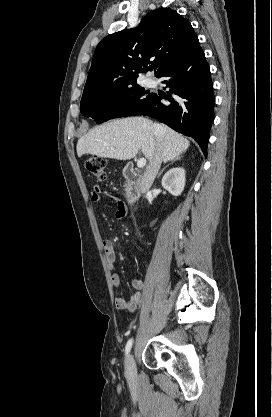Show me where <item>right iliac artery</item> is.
Here are the masks:
<instances>
[{
    "label": "right iliac artery",
    "instance_id": "82829eb1",
    "mask_svg": "<svg viewBox=\"0 0 272 417\" xmlns=\"http://www.w3.org/2000/svg\"><path fill=\"white\" fill-rule=\"evenodd\" d=\"M132 343H133V339H129L127 344H126V348H125V354L126 356L129 354L131 347H132Z\"/></svg>",
    "mask_w": 272,
    "mask_h": 417
}]
</instances>
